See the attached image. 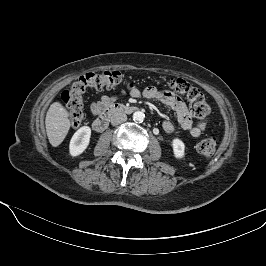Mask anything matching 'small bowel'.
Segmentation results:
<instances>
[{
	"label": "small bowel",
	"mask_w": 266,
	"mask_h": 266,
	"mask_svg": "<svg viewBox=\"0 0 266 266\" xmlns=\"http://www.w3.org/2000/svg\"><path fill=\"white\" fill-rule=\"evenodd\" d=\"M126 94L130 95L133 98L143 97L146 99L155 100L165 106L170 107L174 110L179 125L184 130L188 131L193 137H199L206 129L205 122H199L197 124L193 123L186 104L173 92L158 89L154 86H148L143 90H140L133 85H129L127 89L123 91L120 95L123 96ZM117 97L118 96H102L99 100L91 104L92 113L98 114L107 105L111 104ZM162 128L166 134H171L175 130L174 124L169 120L163 122Z\"/></svg>",
	"instance_id": "obj_1"
}]
</instances>
